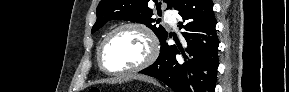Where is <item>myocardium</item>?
Masks as SVG:
<instances>
[{
    "mask_svg": "<svg viewBox=\"0 0 289 92\" xmlns=\"http://www.w3.org/2000/svg\"><path fill=\"white\" fill-rule=\"evenodd\" d=\"M124 29H136L138 31H140L146 38L147 42H148V46H149V51L148 54L146 56V58L139 63L138 65L128 68V69H123V70H109L106 68V66L104 65L103 62V53H104V49L108 43V41L119 31L124 30ZM159 54V42L158 39L155 35V33L152 31V29L147 26L146 24L140 23V22H126V23H122L118 26H116L115 28H113L102 40L98 51H97V61L99 64L100 69L109 74V75H126V74H132V73H136L139 72L145 68H147L148 66H150L151 64L154 63V61L157 59Z\"/></svg>",
    "mask_w": 289,
    "mask_h": 92,
    "instance_id": "myocardium-1",
    "label": "myocardium"
}]
</instances>
